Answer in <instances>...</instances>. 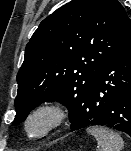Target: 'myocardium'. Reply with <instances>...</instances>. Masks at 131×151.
<instances>
[{
  "instance_id": "f54148a6",
  "label": "myocardium",
  "mask_w": 131,
  "mask_h": 151,
  "mask_svg": "<svg viewBox=\"0 0 131 151\" xmlns=\"http://www.w3.org/2000/svg\"><path fill=\"white\" fill-rule=\"evenodd\" d=\"M67 116V110L60 102L44 101L30 109L25 116L23 129L28 138L32 140H42L60 129L64 125ZM37 117H45L47 124L39 133H32L30 124Z\"/></svg>"
}]
</instances>
